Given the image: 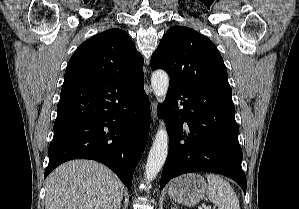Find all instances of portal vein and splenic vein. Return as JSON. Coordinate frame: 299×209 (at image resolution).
Returning <instances> with one entry per match:
<instances>
[{"label":"portal vein and splenic vein","instance_id":"obj_1","mask_svg":"<svg viewBox=\"0 0 299 209\" xmlns=\"http://www.w3.org/2000/svg\"><path fill=\"white\" fill-rule=\"evenodd\" d=\"M200 209H212V207L211 206H205V205H202V208H200Z\"/></svg>","mask_w":299,"mask_h":209}]
</instances>
